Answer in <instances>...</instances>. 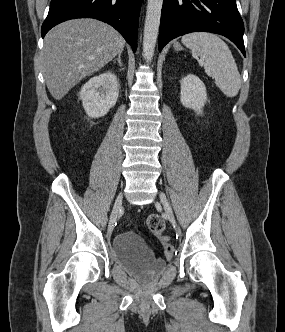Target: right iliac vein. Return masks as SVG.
Returning <instances> with one entry per match:
<instances>
[{
  "instance_id": "1",
  "label": "right iliac vein",
  "mask_w": 285,
  "mask_h": 332,
  "mask_svg": "<svg viewBox=\"0 0 285 332\" xmlns=\"http://www.w3.org/2000/svg\"><path fill=\"white\" fill-rule=\"evenodd\" d=\"M122 199H123V194L119 193V195L116 198L113 210H112V214H111V218H110V223H109V230H111L113 228V223L117 219L119 210L121 209V206H122Z\"/></svg>"
}]
</instances>
